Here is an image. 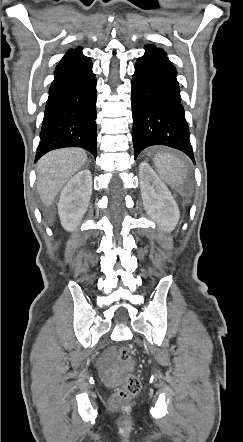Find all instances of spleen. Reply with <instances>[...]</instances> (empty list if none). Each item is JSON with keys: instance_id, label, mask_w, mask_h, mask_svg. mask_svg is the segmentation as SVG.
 <instances>
[{"instance_id": "spleen-1", "label": "spleen", "mask_w": 243, "mask_h": 442, "mask_svg": "<svg viewBox=\"0 0 243 442\" xmlns=\"http://www.w3.org/2000/svg\"><path fill=\"white\" fill-rule=\"evenodd\" d=\"M155 168L161 179L172 187L182 183L183 162L170 153H158L154 157Z\"/></svg>"}]
</instances>
